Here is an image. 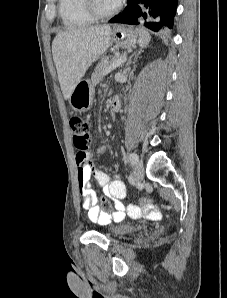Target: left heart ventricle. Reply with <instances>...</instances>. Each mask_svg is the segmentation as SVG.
I'll use <instances>...</instances> for the list:
<instances>
[{"instance_id": "1", "label": "left heart ventricle", "mask_w": 227, "mask_h": 298, "mask_svg": "<svg viewBox=\"0 0 227 298\" xmlns=\"http://www.w3.org/2000/svg\"><path fill=\"white\" fill-rule=\"evenodd\" d=\"M94 3L100 12H108L115 6L112 0H94Z\"/></svg>"}]
</instances>
